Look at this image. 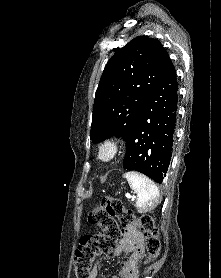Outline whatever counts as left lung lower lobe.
Instances as JSON below:
<instances>
[{
	"label": "left lung lower lobe",
	"mask_w": 221,
	"mask_h": 278,
	"mask_svg": "<svg viewBox=\"0 0 221 278\" xmlns=\"http://www.w3.org/2000/svg\"><path fill=\"white\" fill-rule=\"evenodd\" d=\"M177 100L176 71L170 60L125 140V169L162 183L172 156Z\"/></svg>",
	"instance_id": "1"
}]
</instances>
